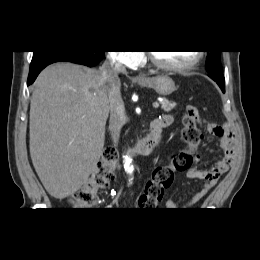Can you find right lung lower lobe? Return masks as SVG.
<instances>
[{"mask_svg":"<svg viewBox=\"0 0 260 260\" xmlns=\"http://www.w3.org/2000/svg\"><path fill=\"white\" fill-rule=\"evenodd\" d=\"M105 51H54L37 52L33 55L27 85L32 84L38 74L47 65L59 62L69 61L77 64L93 67L97 65L105 56Z\"/></svg>","mask_w":260,"mask_h":260,"instance_id":"1","label":"right lung lower lobe"}]
</instances>
